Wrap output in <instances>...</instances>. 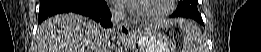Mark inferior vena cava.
Listing matches in <instances>:
<instances>
[{"label":"inferior vena cava","instance_id":"1","mask_svg":"<svg viewBox=\"0 0 261 52\" xmlns=\"http://www.w3.org/2000/svg\"><path fill=\"white\" fill-rule=\"evenodd\" d=\"M110 12H111V21L114 25H118L125 17V10L123 6L115 5L113 8L110 9ZM107 42H108V48L106 47L104 49V52H109V49H111L110 37L108 34H107Z\"/></svg>","mask_w":261,"mask_h":52}]
</instances>
